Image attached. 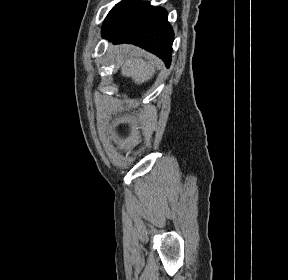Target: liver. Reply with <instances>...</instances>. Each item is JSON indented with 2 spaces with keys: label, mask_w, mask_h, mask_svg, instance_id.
Returning a JSON list of instances; mask_svg holds the SVG:
<instances>
[{
  "label": "liver",
  "mask_w": 288,
  "mask_h": 280,
  "mask_svg": "<svg viewBox=\"0 0 288 280\" xmlns=\"http://www.w3.org/2000/svg\"><path fill=\"white\" fill-rule=\"evenodd\" d=\"M122 52L124 62L121 67V74L123 76L131 77L136 84H142L154 76L155 66L143 60L140 51L126 47Z\"/></svg>",
  "instance_id": "obj_1"
}]
</instances>
